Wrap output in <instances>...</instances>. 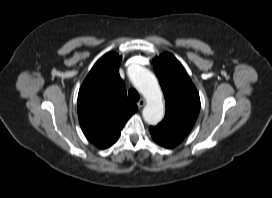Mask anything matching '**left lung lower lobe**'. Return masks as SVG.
Wrapping results in <instances>:
<instances>
[{
    "label": "left lung lower lobe",
    "instance_id": "obj_1",
    "mask_svg": "<svg viewBox=\"0 0 272 198\" xmlns=\"http://www.w3.org/2000/svg\"><path fill=\"white\" fill-rule=\"evenodd\" d=\"M153 139L161 146L166 148H173L178 145L185 137L174 133L161 126H154L149 128Z\"/></svg>",
    "mask_w": 272,
    "mask_h": 198
}]
</instances>
